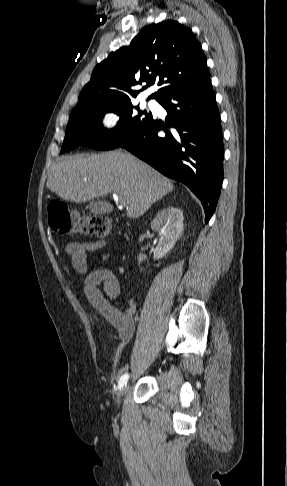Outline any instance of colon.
<instances>
[{
	"mask_svg": "<svg viewBox=\"0 0 287 486\" xmlns=\"http://www.w3.org/2000/svg\"><path fill=\"white\" fill-rule=\"evenodd\" d=\"M48 223L58 234L80 233L102 237L108 234L109 220L102 216L83 217L72 212L62 201H52L48 205Z\"/></svg>",
	"mask_w": 287,
	"mask_h": 486,
	"instance_id": "colon-1",
	"label": "colon"
}]
</instances>
